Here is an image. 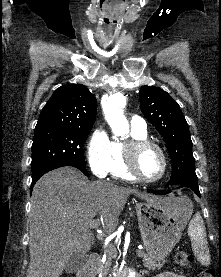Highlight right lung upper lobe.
<instances>
[{"label": "right lung upper lobe", "mask_w": 221, "mask_h": 277, "mask_svg": "<svg viewBox=\"0 0 221 277\" xmlns=\"http://www.w3.org/2000/svg\"><path fill=\"white\" fill-rule=\"evenodd\" d=\"M96 113V98L84 85H63L42 109L36 128H92Z\"/></svg>", "instance_id": "obj_1"}]
</instances>
